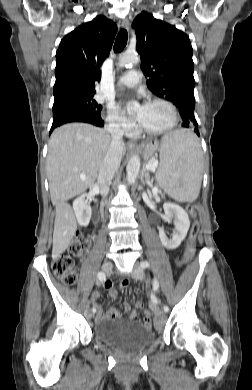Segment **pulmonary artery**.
<instances>
[{
    "label": "pulmonary artery",
    "instance_id": "1",
    "mask_svg": "<svg viewBox=\"0 0 252 390\" xmlns=\"http://www.w3.org/2000/svg\"><path fill=\"white\" fill-rule=\"evenodd\" d=\"M140 82V72L138 70H130L125 75L120 77L118 85L120 87H134Z\"/></svg>",
    "mask_w": 252,
    "mask_h": 390
}]
</instances>
